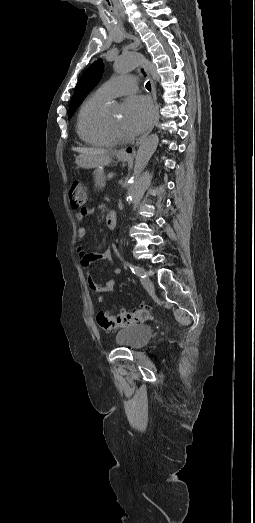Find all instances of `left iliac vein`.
<instances>
[{
	"instance_id": "obj_1",
	"label": "left iliac vein",
	"mask_w": 255,
	"mask_h": 523,
	"mask_svg": "<svg viewBox=\"0 0 255 523\" xmlns=\"http://www.w3.org/2000/svg\"><path fill=\"white\" fill-rule=\"evenodd\" d=\"M143 271H144V270H143ZM144 275H145V277L140 279L142 285L144 286V288H145L148 292H150V293L154 292V285H153V283L149 280V278H148V276H147V273H146L145 271H144Z\"/></svg>"
}]
</instances>
